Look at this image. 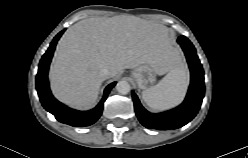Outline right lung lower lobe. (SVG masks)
I'll use <instances>...</instances> for the list:
<instances>
[{"instance_id": "right-lung-lower-lobe-1", "label": "right lung lower lobe", "mask_w": 248, "mask_h": 158, "mask_svg": "<svg viewBox=\"0 0 248 158\" xmlns=\"http://www.w3.org/2000/svg\"><path fill=\"white\" fill-rule=\"evenodd\" d=\"M64 31L65 30H62L60 33H58V35L51 42L50 47L46 53L42 56L36 76V89L43 107L48 112L53 114L58 121L75 127L89 126L95 123L101 116L103 104L110 90L115 86L116 82H113L106 87L102 100L95 108L90 111H77L57 101L49 89L48 69L56 47V43Z\"/></svg>"}]
</instances>
